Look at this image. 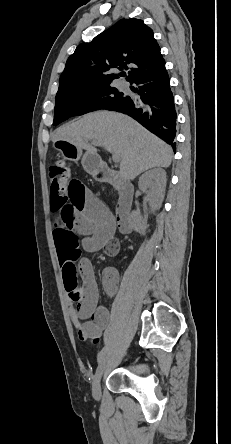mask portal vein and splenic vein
Wrapping results in <instances>:
<instances>
[{
    "mask_svg": "<svg viewBox=\"0 0 231 444\" xmlns=\"http://www.w3.org/2000/svg\"><path fill=\"white\" fill-rule=\"evenodd\" d=\"M93 145L102 146L98 141H92ZM113 162L118 163L120 161V156L117 154H113L112 156Z\"/></svg>",
    "mask_w": 231,
    "mask_h": 444,
    "instance_id": "portal-vein-and-splenic-vein-1",
    "label": "portal vein and splenic vein"
}]
</instances>
